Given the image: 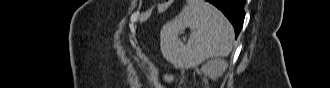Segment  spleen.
I'll return each instance as SVG.
<instances>
[{
    "label": "spleen",
    "mask_w": 330,
    "mask_h": 88,
    "mask_svg": "<svg viewBox=\"0 0 330 88\" xmlns=\"http://www.w3.org/2000/svg\"><path fill=\"white\" fill-rule=\"evenodd\" d=\"M187 27L192 33L187 44L178 38ZM234 30L227 18L204 0H188L182 11L163 25L160 47L175 67H196L210 58L226 57L232 51Z\"/></svg>",
    "instance_id": "spleen-1"
}]
</instances>
